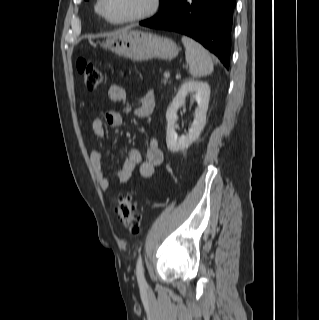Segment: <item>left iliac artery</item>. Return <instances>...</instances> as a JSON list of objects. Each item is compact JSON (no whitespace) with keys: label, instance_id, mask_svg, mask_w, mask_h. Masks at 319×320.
I'll return each instance as SVG.
<instances>
[{"label":"left iliac artery","instance_id":"1","mask_svg":"<svg viewBox=\"0 0 319 320\" xmlns=\"http://www.w3.org/2000/svg\"><path fill=\"white\" fill-rule=\"evenodd\" d=\"M136 275H137V280H138L139 285L142 287L146 286L147 282L144 277V268H143V262H142L141 255H139L138 260H137Z\"/></svg>","mask_w":319,"mask_h":320}]
</instances>
